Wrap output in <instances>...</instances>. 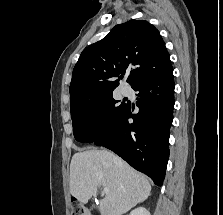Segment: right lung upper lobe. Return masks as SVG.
Wrapping results in <instances>:
<instances>
[{
    "mask_svg": "<svg viewBox=\"0 0 223 215\" xmlns=\"http://www.w3.org/2000/svg\"><path fill=\"white\" fill-rule=\"evenodd\" d=\"M127 68L131 87L172 70L159 31L145 20L116 25L102 40L89 45L76 63L69 88L70 109L109 96Z\"/></svg>",
    "mask_w": 223,
    "mask_h": 215,
    "instance_id": "1",
    "label": "right lung upper lobe"
}]
</instances>
